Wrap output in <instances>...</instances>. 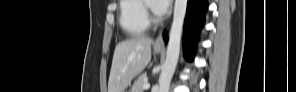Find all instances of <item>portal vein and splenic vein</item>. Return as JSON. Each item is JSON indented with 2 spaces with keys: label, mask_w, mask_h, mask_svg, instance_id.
<instances>
[{
  "label": "portal vein and splenic vein",
  "mask_w": 296,
  "mask_h": 92,
  "mask_svg": "<svg viewBox=\"0 0 296 92\" xmlns=\"http://www.w3.org/2000/svg\"><path fill=\"white\" fill-rule=\"evenodd\" d=\"M143 88H144V89H148V88H150V84H149V83H145V84L143 85Z\"/></svg>",
  "instance_id": "portal-vein-and-splenic-vein-1"
}]
</instances>
